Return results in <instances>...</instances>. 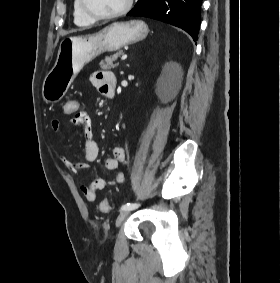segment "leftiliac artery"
<instances>
[{"label": "left iliac artery", "mask_w": 280, "mask_h": 283, "mask_svg": "<svg viewBox=\"0 0 280 283\" xmlns=\"http://www.w3.org/2000/svg\"><path fill=\"white\" fill-rule=\"evenodd\" d=\"M138 206H139V204H136V203H126V204L121 206V210H125V209L133 210V209L137 208Z\"/></svg>", "instance_id": "44dca946"}]
</instances>
